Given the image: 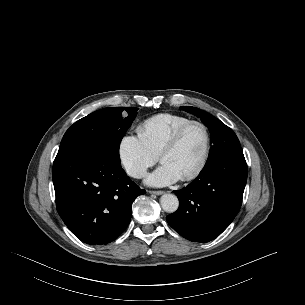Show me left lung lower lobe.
<instances>
[{"instance_id":"1","label":"left lung lower lobe","mask_w":305,"mask_h":305,"mask_svg":"<svg viewBox=\"0 0 305 305\" xmlns=\"http://www.w3.org/2000/svg\"><path fill=\"white\" fill-rule=\"evenodd\" d=\"M247 181L242 151L205 166L186 188L174 191L179 209L166 217L169 225L190 241L208 242L219 236L237 215Z\"/></svg>"}]
</instances>
